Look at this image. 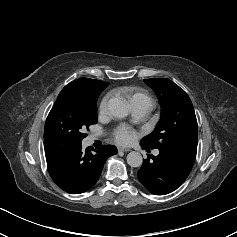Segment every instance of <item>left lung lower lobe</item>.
Listing matches in <instances>:
<instances>
[{"label":"left lung lower lobe","instance_id":"0a47b994","mask_svg":"<svg viewBox=\"0 0 237 237\" xmlns=\"http://www.w3.org/2000/svg\"><path fill=\"white\" fill-rule=\"evenodd\" d=\"M143 149H149L141 144ZM158 156L149 155L137 172L142 185L151 193L165 195L177 189L188 177L196 152L159 150Z\"/></svg>","mask_w":237,"mask_h":237}]
</instances>
